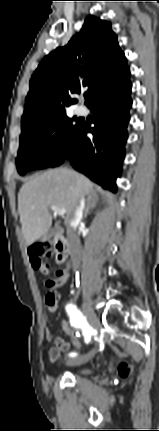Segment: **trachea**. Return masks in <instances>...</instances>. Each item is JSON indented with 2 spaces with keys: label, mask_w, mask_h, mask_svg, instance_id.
I'll use <instances>...</instances> for the list:
<instances>
[{
  "label": "trachea",
  "mask_w": 159,
  "mask_h": 431,
  "mask_svg": "<svg viewBox=\"0 0 159 431\" xmlns=\"http://www.w3.org/2000/svg\"><path fill=\"white\" fill-rule=\"evenodd\" d=\"M84 97L87 99V98L89 97V94H88V93H86V94L84 95Z\"/></svg>",
  "instance_id": "trachea-1"
}]
</instances>
